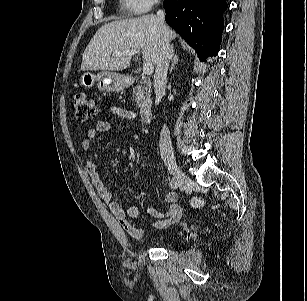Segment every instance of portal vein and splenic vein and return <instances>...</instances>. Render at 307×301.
<instances>
[{"mask_svg": "<svg viewBox=\"0 0 307 301\" xmlns=\"http://www.w3.org/2000/svg\"><path fill=\"white\" fill-rule=\"evenodd\" d=\"M139 53V50H131V51H121V52H113V56H127V55H135ZM154 71V67L151 62L147 61L143 65V73L145 75H151Z\"/></svg>", "mask_w": 307, "mask_h": 301, "instance_id": "18ae733b", "label": "portal vein and splenic vein"}]
</instances>
